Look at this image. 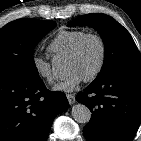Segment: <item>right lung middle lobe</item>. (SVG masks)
I'll return each instance as SVG.
<instances>
[{"instance_id": "right-lung-middle-lobe-1", "label": "right lung middle lobe", "mask_w": 141, "mask_h": 141, "mask_svg": "<svg viewBox=\"0 0 141 141\" xmlns=\"http://www.w3.org/2000/svg\"><path fill=\"white\" fill-rule=\"evenodd\" d=\"M53 21L18 19L0 29V77H36L35 45L54 27Z\"/></svg>"}]
</instances>
